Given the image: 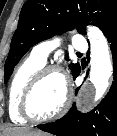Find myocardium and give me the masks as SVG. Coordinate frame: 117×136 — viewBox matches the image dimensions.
Here are the masks:
<instances>
[{"mask_svg":"<svg viewBox=\"0 0 117 136\" xmlns=\"http://www.w3.org/2000/svg\"><path fill=\"white\" fill-rule=\"evenodd\" d=\"M53 73L59 74L64 78V81H65L64 101H63L61 107L54 114L47 116V117H36V116L32 115L29 110V101H30L31 95H32L33 91L35 90V88L37 87V85L46 76H48L49 74H53ZM71 102H72V89H71L69 79H68L66 73L59 66L47 65V66L42 67L40 70H38L32 76V78L29 80L27 85L25 86V88L22 92V95H21L20 103H19V113L26 120H29L33 123L50 122V121L56 120L59 117H61L67 111Z\"/></svg>","mask_w":117,"mask_h":136,"instance_id":"f54148a6","label":"myocardium"}]
</instances>
